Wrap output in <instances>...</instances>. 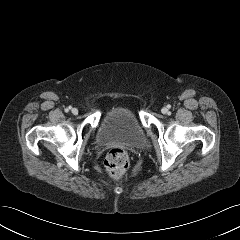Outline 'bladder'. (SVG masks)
Instances as JSON below:
<instances>
[{"mask_svg": "<svg viewBox=\"0 0 240 240\" xmlns=\"http://www.w3.org/2000/svg\"><path fill=\"white\" fill-rule=\"evenodd\" d=\"M97 139L102 144L122 143L132 147L144 144L146 134L134 112L126 107H115L105 116Z\"/></svg>", "mask_w": 240, "mask_h": 240, "instance_id": "bladder-1", "label": "bladder"}]
</instances>
